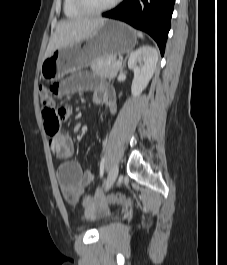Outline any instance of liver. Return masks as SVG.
I'll return each instance as SVG.
<instances>
[{
  "label": "liver",
  "instance_id": "liver-1",
  "mask_svg": "<svg viewBox=\"0 0 227 265\" xmlns=\"http://www.w3.org/2000/svg\"><path fill=\"white\" fill-rule=\"evenodd\" d=\"M103 18H75L60 21L47 46L44 59L54 50L90 37L106 22Z\"/></svg>",
  "mask_w": 227,
  "mask_h": 265
}]
</instances>
